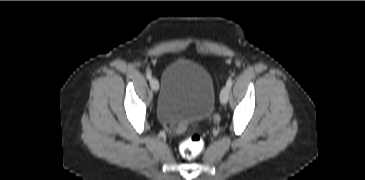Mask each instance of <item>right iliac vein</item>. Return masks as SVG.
<instances>
[{
  "instance_id": "right-iliac-vein-1",
  "label": "right iliac vein",
  "mask_w": 365,
  "mask_h": 180,
  "mask_svg": "<svg viewBox=\"0 0 365 180\" xmlns=\"http://www.w3.org/2000/svg\"><path fill=\"white\" fill-rule=\"evenodd\" d=\"M150 86L153 91L157 92L159 90V82L155 78L150 79Z\"/></svg>"
}]
</instances>
